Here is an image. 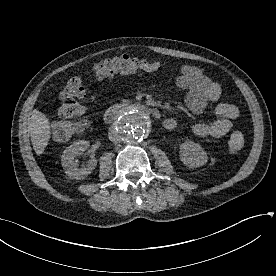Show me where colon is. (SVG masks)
I'll return each instance as SVG.
<instances>
[{
	"instance_id": "obj_1",
	"label": "colon",
	"mask_w": 276,
	"mask_h": 276,
	"mask_svg": "<svg viewBox=\"0 0 276 276\" xmlns=\"http://www.w3.org/2000/svg\"><path fill=\"white\" fill-rule=\"evenodd\" d=\"M149 62L136 57L123 55L103 60L93 68L97 78H105L119 74H136L147 72ZM86 94V86L82 78H71L60 93L61 106L59 114L63 119L53 127L52 134L57 141H66L72 135L85 130L88 121L81 119L85 113L79 102ZM245 137L240 131H234L227 142L231 153H238L245 147Z\"/></svg>"
}]
</instances>
